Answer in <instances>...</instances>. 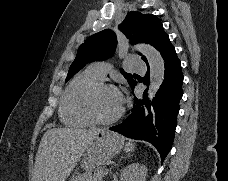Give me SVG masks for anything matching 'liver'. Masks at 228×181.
Segmentation results:
<instances>
[{"label":"liver","mask_w":228,"mask_h":181,"mask_svg":"<svg viewBox=\"0 0 228 181\" xmlns=\"http://www.w3.org/2000/svg\"><path fill=\"white\" fill-rule=\"evenodd\" d=\"M103 129H49L44 133L32 181H66L96 133Z\"/></svg>","instance_id":"obj_1"}]
</instances>
